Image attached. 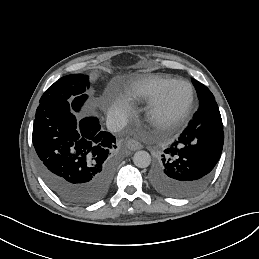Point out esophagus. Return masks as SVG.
<instances>
[{
    "label": "esophagus",
    "instance_id": "obj_1",
    "mask_svg": "<svg viewBox=\"0 0 259 259\" xmlns=\"http://www.w3.org/2000/svg\"><path fill=\"white\" fill-rule=\"evenodd\" d=\"M126 146L129 150L135 151V150H140L142 149V144L138 141H136L135 139H128L126 142Z\"/></svg>",
    "mask_w": 259,
    "mask_h": 259
}]
</instances>
